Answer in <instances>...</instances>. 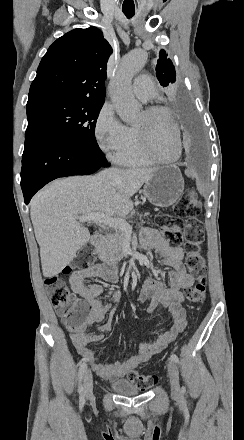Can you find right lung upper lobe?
<instances>
[{
    "label": "right lung upper lobe",
    "instance_id": "1",
    "mask_svg": "<svg viewBox=\"0 0 244 440\" xmlns=\"http://www.w3.org/2000/svg\"><path fill=\"white\" fill-rule=\"evenodd\" d=\"M111 54L110 44L96 27L66 33L42 58L29 100L57 97L105 100L106 64Z\"/></svg>",
    "mask_w": 244,
    "mask_h": 440
}]
</instances>
